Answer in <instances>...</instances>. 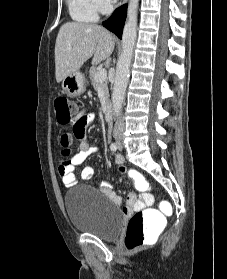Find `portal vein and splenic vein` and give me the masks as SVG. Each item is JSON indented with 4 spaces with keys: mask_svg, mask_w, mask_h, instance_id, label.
Returning a JSON list of instances; mask_svg holds the SVG:
<instances>
[{
    "mask_svg": "<svg viewBox=\"0 0 227 279\" xmlns=\"http://www.w3.org/2000/svg\"><path fill=\"white\" fill-rule=\"evenodd\" d=\"M107 78V71L106 69L102 68V69H98V71L96 72L95 75V79L99 82L105 80Z\"/></svg>",
    "mask_w": 227,
    "mask_h": 279,
    "instance_id": "obj_1",
    "label": "portal vein and splenic vein"
}]
</instances>
